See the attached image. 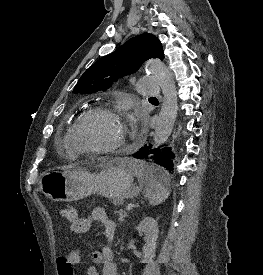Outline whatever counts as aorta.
<instances>
[{
	"label": "aorta",
	"mask_w": 263,
	"mask_h": 275,
	"mask_svg": "<svg viewBox=\"0 0 263 275\" xmlns=\"http://www.w3.org/2000/svg\"><path fill=\"white\" fill-rule=\"evenodd\" d=\"M146 68L160 85L163 93L161 111L157 118L153 137L154 145L158 147L167 141L173 130L178 111V97L173 75L160 60L148 61Z\"/></svg>",
	"instance_id": "762f6f07"
}]
</instances>
